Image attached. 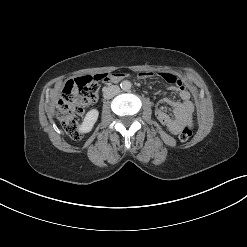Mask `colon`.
<instances>
[{
	"label": "colon",
	"mask_w": 247,
	"mask_h": 247,
	"mask_svg": "<svg viewBox=\"0 0 247 247\" xmlns=\"http://www.w3.org/2000/svg\"><path fill=\"white\" fill-rule=\"evenodd\" d=\"M107 77V74L82 76L69 80L64 85L58 101L57 117L67 135L73 140L82 137L78 118L83 108L97 99L100 81L106 80ZM191 136L192 130L189 127H184L179 133V139L183 142L189 140Z\"/></svg>",
	"instance_id": "obj_1"
}]
</instances>
